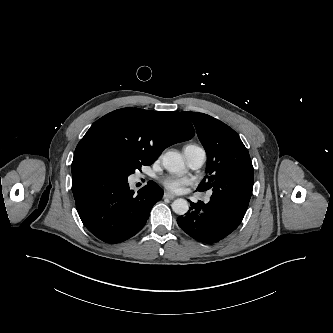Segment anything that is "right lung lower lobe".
<instances>
[{
  "instance_id": "98d812e1",
  "label": "right lung lower lobe",
  "mask_w": 333,
  "mask_h": 333,
  "mask_svg": "<svg viewBox=\"0 0 333 333\" xmlns=\"http://www.w3.org/2000/svg\"><path fill=\"white\" fill-rule=\"evenodd\" d=\"M72 191L85 227L107 243H119L138 233L163 193L154 184L134 195L127 179L111 178L87 167L72 173Z\"/></svg>"
}]
</instances>
